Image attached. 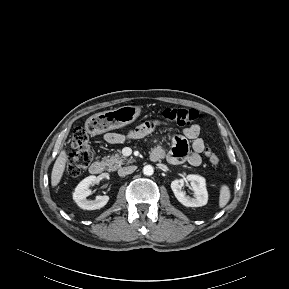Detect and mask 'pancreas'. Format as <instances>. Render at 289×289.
Instances as JSON below:
<instances>
[{"label":"pancreas","mask_w":289,"mask_h":289,"mask_svg":"<svg viewBox=\"0 0 289 289\" xmlns=\"http://www.w3.org/2000/svg\"><path fill=\"white\" fill-rule=\"evenodd\" d=\"M127 162H133L132 158L127 159L125 156L121 155L120 153H115L110 156L104 157V163L108 167L109 171H115L121 167V165Z\"/></svg>","instance_id":"pancreas-1"}]
</instances>
